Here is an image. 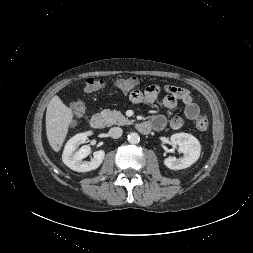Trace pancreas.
<instances>
[{
	"instance_id": "obj_1",
	"label": "pancreas",
	"mask_w": 253,
	"mask_h": 253,
	"mask_svg": "<svg viewBox=\"0 0 253 253\" xmlns=\"http://www.w3.org/2000/svg\"><path fill=\"white\" fill-rule=\"evenodd\" d=\"M108 125H127L131 124L120 111L105 109L101 112Z\"/></svg>"
}]
</instances>
